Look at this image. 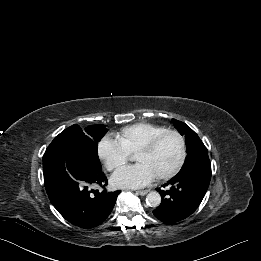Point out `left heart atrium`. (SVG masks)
<instances>
[{
    "mask_svg": "<svg viewBox=\"0 0 261 261\" xmlns=\"http://www.w3.org/2000/svg\"><path fill=\"white\" fill-rule=\"evenodd\" d=\"M156 177L148 166L136 163L114 173L111 184L117 188H141L151 184Z\"/></svg>",
    "mask_w": 261,
    "mask_h": 261,
    "instance_id": "left-heart-atrium-1",
    "label": "left heart atrium"
}]
</instances>
